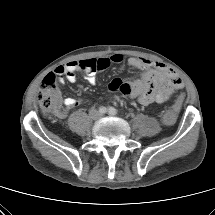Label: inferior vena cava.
Wrapping results in <instances>:
<instances>
[{
  "label": "inferior vena cava",
  "mask_w": 215,
  "mask_h": 215,
  "mask_svg": "<svg viewBox=\"0 0 215 215\" xmlns=\"http://www.w3.org/2000/svg\"><path fill=\"white\" fill-rule=\"evenodd\" d=\"M92 116H93L94 118H97V117L100 116V114H99L96 110H93V111H92Z\"/></svg>",
  "instance_id": "602c4592"
}]
</instances>
